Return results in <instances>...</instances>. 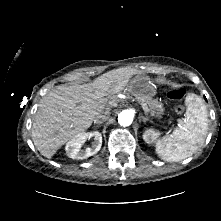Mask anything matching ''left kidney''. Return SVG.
Instances as JSON below:
<instances>
[{
    "mask_svg": "<svg viewBox=\"0 0 221 221\" xmlns=\"http://www.w3.org/2000/svg\"><path fill=\"white\" fill-rule=\"evenodd\" d=\"M158 135H159V133L156 132L154 129H147L143 133V139L146 143L150 144V143H153L156 140Z\"/></svg>",
    "mask_w": 221,
    "mask_h": 221,
    "instance_id": "left-kidney-1",
    "label": "left kidney"
}]
</instances>
